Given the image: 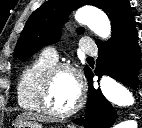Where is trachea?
I'll list each match as a JSON object with an SVG mask.
<instances>
[{
	"instance_id": "1",
	"label": "trachea",
	"mask_w": 142,
	"mask_h": 128,
	"mask_svg": "<svg viewBox=\"0 0 142 128\" xmlns=\"http://www.w3.org/2000/svg\"><path fill=\"white\" fill-rule=\"evenodd\" d=\"M87 59L92 60L93 58L92 57H88Z\"/></svg>"
}]
</instances>
